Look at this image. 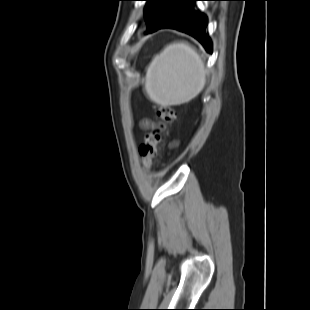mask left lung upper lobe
<instances>
[{
  "instance_id": "obj_1",
  "label": "left lung upper lobe",
  "mask_w": 310,
  "mask_h": 310,
  "mask_svg": "<svg viewBox=\"0 0 310 310\" xmlns=\"http://www.w3.org/2000/svg\"><path fill=\"white\" fill-rule=\"evenodd\" d=\"M144 18L151 33L170 24L190 0H146Z\"/></svg>"
}]
</instances>
